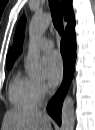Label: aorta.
<instances>
[{
	"instance_id": "obj_1",
	"label": "aorta",
	"mask_w": 95,
	"mask_h": 130,
	"mask_svg": "<svg viewBox=\"0 0 95 130\" xmlns=\"http://www.w3.org/2000/svg\"><path fill=\"white\" fill-rule=\"evenodd\" d=\"M49 24L50 17L48 14L34 15L29 24V47L26 60V69L33 77L40 76L42 73V65L37 41L46 31ZM61 120V130H74V101L69 94L66 95L63 101Z\"/></svg>"
}]
</instances>
